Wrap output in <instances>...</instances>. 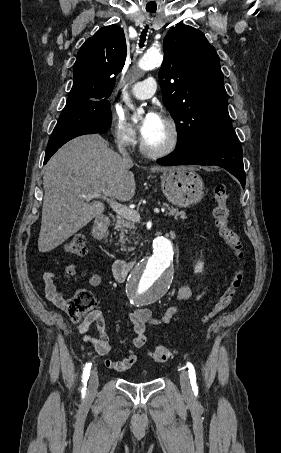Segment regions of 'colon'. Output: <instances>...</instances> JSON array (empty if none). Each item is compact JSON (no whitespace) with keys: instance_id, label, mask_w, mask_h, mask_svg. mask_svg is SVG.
Masks as SVG:
<instances>
[{"instance_id":"1","label":"colon","mask_w":281,"mask_h":453,"mask_svg":"<svg viewBox=\"0 0 281 453\" xmlns=\"http://www.w3.org/2000/svg\"><path fill=\"white\" fill-rule=\"evenodd\" d=\"M230 186L227 183H218L213 188L212 206L214 209V227L223 243L231 250L235 259V266L231 273L226 289L218 299L203 313L198 328L202 329L219 313L223 312L240 291L244 281L243 247L239 235L229 225V199ZM57 250L65 257L87 256V245L81 238H69L57 245ZM69 310L74 314H81L83 309L76 303L69 305ZM150 357L155 363H168L171 360L169 348L160 347L150 351Z\"/></svg>"}]
</instances>
